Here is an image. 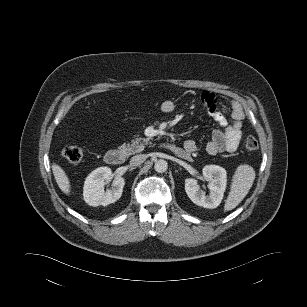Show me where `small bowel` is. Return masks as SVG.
Segmentation results:
<instances>
[{"instance_id": "obj_1", "label": "small bowel", "mask_w": 307, "mask_h": 307, "mask_svg": "<svg viewBox=\"0 0 307 307\" xmlns=\"http://www.w3.org/2000/svg\"><path fill=\"white\" fill-rule=\"evenodd\" d=\"M203 101L208 109L210 117L218 124L211 139L206 144V151L210 155L221 152L232 153L236 151L242 138V122L244 119L243 107L237 100H230L232 123L229 124L224 113L221 111L217 100L213 94L204 93ZM175 109V103L171 100H165L161 104V110L164 113H171ZM175 154L180 157H188L197 149L194 140H186L183 146H174Z\"/></svg>"}]
</instances>
